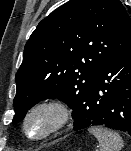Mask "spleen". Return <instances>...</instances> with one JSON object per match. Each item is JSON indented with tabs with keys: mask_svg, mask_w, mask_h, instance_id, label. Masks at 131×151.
Wrapping results in <instances>:
<instances>
[{
	"mask_svg": "<svg viewBox=\"0 0 131 151\" xmlns=\"http://www.w3.org/2000/svg\"><path fill=\"white\" fill-rule=\"evenodd\" d=\"M88 131L97 138L100 151H121L123 140L118 133L103 127H90Z\"/></svg>",
	"mask_w": 131,
	"mask_h": 151,
	"instance_id": "spleen-1",
	"label": "spleen"
}]
</instances>
